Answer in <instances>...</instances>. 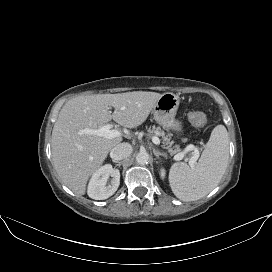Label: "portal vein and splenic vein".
<instances>
[{
    "instance_id": "obj_1",
    "label": "portal vein and splenic vein",
    "mask_w": 272,
    "mask_h": 272,
    "mask_svg": "<svg viewBox=\"0 0 272 272\" xmlns=\"http://www.w3.org/2000/svg\"><path fill=\"white\" fill-rule=\"evenodd\" d=\"M111 128H112L111 124H106L96 129L86 128L83 130V133L88 135H96V136L104 137L107 139L116 138L121 135V133L118 130L111 129ZM152 142L155 145H160V139L156 136L152 138ZM189 148H194V146L190 145ZM184 155H185L184 152L178 153L177 155L174 156V160L180 161L184 158ZM198 157H199V151L195 149L194 155L189 159V165L192 169L195 168V163Z\"/></svg>"
}]
</instances>
